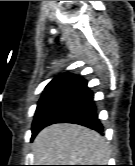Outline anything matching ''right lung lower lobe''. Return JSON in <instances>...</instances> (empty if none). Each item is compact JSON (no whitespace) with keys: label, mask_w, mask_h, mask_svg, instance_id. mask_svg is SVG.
<instances>
[{"label":"right lung lower lobe","mask_w":135,"mask_h":166,"mask_svg":"<svg viewBox=\"0 0 135 166\" xmlns=\"http://www.w3.org/2000/svg\"><path fill=\"white\" fill-rule=\"evenodd\" d=\"M68 89L73 96L69 107L50 124L74 123L102 133L103 125L98 119L97 109L93 101V94L87 87V82L82 80L72 84Z\"/></svg>","instance_id":"98d812e1"}]
</instances>
